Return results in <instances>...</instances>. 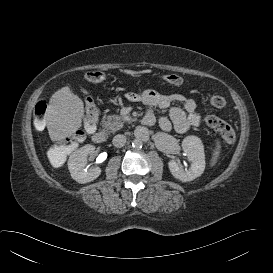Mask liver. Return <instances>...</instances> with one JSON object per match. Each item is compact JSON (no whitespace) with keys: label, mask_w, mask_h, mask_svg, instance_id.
<instances>
[{"label":"liver","mask_w":273,"mask_h":273,"mask_svg":"<svg viewBox=\"0 0 273 273\" xmlns=\"http://www.w3.org/2000/svg\"><path fill=\"white\" fill-rule=\"evenodd\" d=\"M83 116V101L68 87L55 92L46 113L50 139L55 142L71 137L82 126Z\"/></svg>","instance_id":"1"}]
</instances>
